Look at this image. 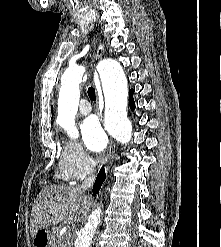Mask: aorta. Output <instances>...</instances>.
Here are the masks:
<instances>
[{"instance_id":"762f6f07","label":"aorta","mask_w":221,"mask_h":247,"mask_svg":"<svg viewBox=\"0 0 221 247\" xmlns=\"http://www.w3.org/2000/svg\"><path fill=\"white\" fill-rule=\"evenodd\" d=\"M85 73L84 66L65 70L61 77V88L58 99V122L68 130L70 138L77 139L79 132L74 119L78 110L79 85ZM99 75L105 99V124L109 133L122 144L132 138V124L127 117L128 85L121 65L113 60H104L99 66ZM101 209L97 207L90 215L88 222L81 229L74 247H90L101 222Z\"/></svg>"}]
</instances>
